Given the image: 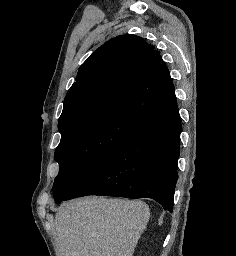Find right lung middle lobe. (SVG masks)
Segmentation results:
<instances>
[{
    "mask_svg": "<svg viewBox=\"0 0 236 256\" xmlns=\"http://www.w3.org/2000/svg\"><path fill=\"white\" fill-rule=\"evenodd\" d=\"M145 122L126 111L110 112L74 123L61 132L55 151L59 174L55 202L62 201L115 148Z\"/></svg>",
    "mask_w": 236,
    "mask_h": 256,
    "instance_id": "dd1d6c3e",
    "label": "right lung middle lobe"
}]
</instances>
